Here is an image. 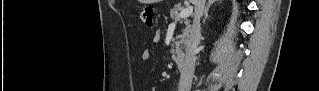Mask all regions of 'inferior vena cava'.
I'll return each mask as SVG.
<instances>
[{
    "label": "inferior vena cava",
    "instance_id": "inferior-vena-cava-1",
    "mask_svg": "<svg viewBox=\"0 0 319 91\" xmlns=\"http://www.w3.org/2000/svg\"><path fill=\"white\" fill-rule=\"evenodd\" d=\"M206 0H196L195 13L190 37L186 46V56L181 71L178 91H190L195 71L196 53L201 37L200 20L204 13Z\"/></svg>",
    "mask_w": 319,
    "mask_h": 91
}]
</instances>
